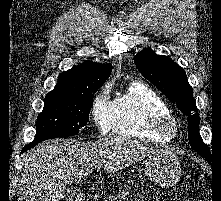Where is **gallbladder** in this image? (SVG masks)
I'll return each instance as SVG.
<instances>
[{
  "label": "gallbladder",
  "mask_w": 221,
  "mask_h": 201,
  "mask_svg": "<svg viewBox=\"0 0 221 201\" xmlns=\"http://www.w3.org/2000/svg\"><path fill=\"white\" fill-rule=\"evenodd\" d=\"M75 196V190L73 188H66V190L63 193L64 199L71 200Z\"/></svg>",
  "instance_id": "gallbladder-1"
}]
</instances>
